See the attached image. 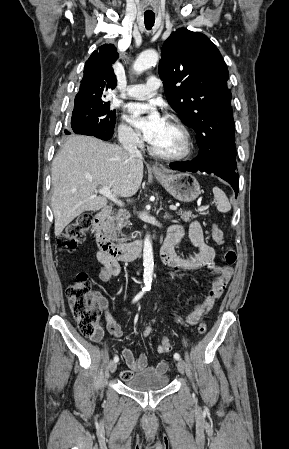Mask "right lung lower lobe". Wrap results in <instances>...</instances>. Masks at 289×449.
<instances>
[{
	"mask_svg": "<svg viewBox=\"0 0 289 449\" xmlns=\"http://www.w3.org/2000/svg\"><path fill=\"white\" fill-rule=\"evenodd\" d=\"M74 132L77 134L95 136L102 140H109L112 137L114 130L100 129L98 127H94L92 124L85 123L79 124Z\"/></svg>",
	"mask_w": 289,
	"mask_h": 449,
	"instance_id": "obj_1",
	"label": "right lung lower lobe"
}]
</instances>
